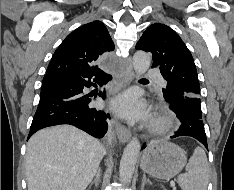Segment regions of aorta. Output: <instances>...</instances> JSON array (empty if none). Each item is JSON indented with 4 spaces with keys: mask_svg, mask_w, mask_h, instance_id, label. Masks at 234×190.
I'll return each instance as SVG.
<instances>
[{
    "mask_svg": "<svg viewBox=\"0 0 234 190\" xmlns=\"http://www.w3.org/2000/svg\"><path fill=\"white\" fill-rule=\"evenodd\" d=\"M151 57L144 51H137L133 56V67L138 75L144 74L150 67ZM140 142L137 138H133L124 149L120 167L119 177L123 184L131 182L137 158L140 152Z\"/></svg>",
    "mask_w": 234,
    "mask_h": 190,
    "instance_id": "1",
    "label": "aorta"
}]
</instances>
